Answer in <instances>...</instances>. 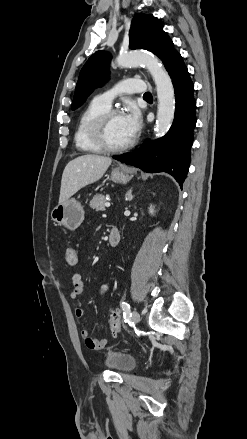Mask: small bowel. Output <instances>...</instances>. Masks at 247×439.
Returning <instances> with one entry per match:
<instances>
[{
    "instance_id": "c3829d8e",
    "label": "small bowel",
    "mask_w": 247,
    "mask_h": 439,
    "mask_svg": "<svg viewBox=\"0 0 247 439\" xmlns=\"http://www.w3.org/2000/svg\"><path fill=\"white\" fill-rule=\"evenodd\" d=\"M72 283H73V289L70 293V297L72 299H77L84 292V281L80 273L73 274ZM107 290H108V285L104 284L101 286L100 292L103 294ZM74 315L78 324L81 325L84 317L83 308L81 306L76 307L74 310ZM80 335L86 347L91 350H101L107 344V341L105 339H101V340L93 339L85 328L81 329Z\"/></svg>"
}]
</instances>
